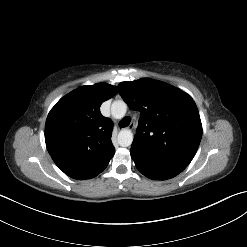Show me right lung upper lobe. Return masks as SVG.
<instances>
[{
	"mask_svg": "<svg viewBox=\"0 0 247 247\" xmlns=\"http://www.w3.org/2000/svg\"><path fill=\"white\" fill-rule=\"evenodd\" d=\"M116 91L106 83L81 86L50 111L45 125L46 146L55 164L69 177L86 176L115 152L113 123L101 115L100 106Z\"/></svg>",
	"mask_w": 247,
	"mask_h": 247,
	"instance_id": "cb5924a9",
	"label": "right lung upper lobe"
}]
</instances>
